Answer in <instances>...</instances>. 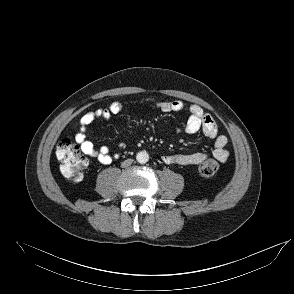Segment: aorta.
<instances>
[{
	"label": "aorta",
	"instance_id": "obj_1",
	"mask_svg": "<svg viewBox=\"0 0 294 294\" xmlns=\"http://www.w3.org/2000/svg\"><path fill=\"white\" fill-rule=\"evenodd\" d=\"M136 160L140 164H145L149 160V155L146 151H140L136 155Z\"/></svg>",
	"mask_w": 294,
	"mask_h": 294
}]
</instances>
